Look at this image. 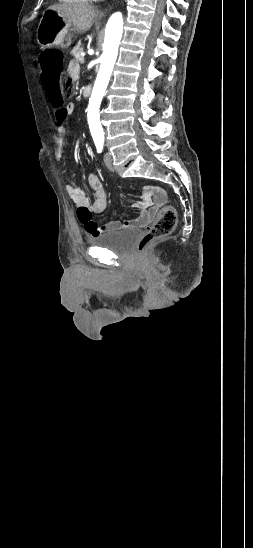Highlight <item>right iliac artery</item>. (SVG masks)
Returning a JSON list of instances; mask_svg holds the SVG:
<instances>
[{
    "mask_svg": "<svg viewBox=\"0 0 253 548\" xmlns=\"http://www.w3.org/2000/svg\"><path fill=\"white\" fill-rule=\"evenodd\" d=\"M95 145H96L97 151L101 153L103 150V141H97L95 142Z\"/></svg>",
    "mask_w": 253,
    "mask_h": 548,
    "instance_id": "82829eb1",
    "label": "right iliac artery"
}]
</instances>
